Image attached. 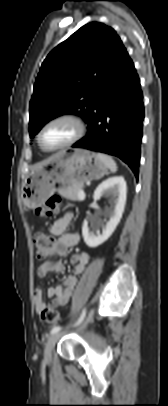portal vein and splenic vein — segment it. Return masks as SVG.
Returning a JSON list of instances; mask_svg holds the SVG:
<instances>
[{
	"mask_svg": "<svg viewBox=\"0 0 168 406\" xmlns=\"http://www.w3.org/2000/svg\"><path fill=\"white\" fill-rule=\"evenodd\" d=\"M78 195H79V197L82 198V199L85 198V193H84L83 190H81V191L78 193Z\"/></svg>",
	"mask_w": 168,
	"mask_h": 406,
	"instance_id": "portal-vein-and-splenic-vein-1",
	"label": "portal vein and splenic vein"
}]
</instances>
